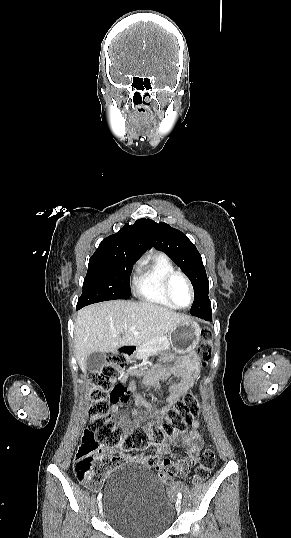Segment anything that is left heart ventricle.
<instances>
[{
	"label": "left heart ventricle",
	"mask_w": 291,
	"mask_h": 538,
	"mask_svg": "<svg viewBox=\"0 0 291 538\" xmlns=\"http://www.w3.org/2000/svg\"><path fill=\"white\" fill-rule=\"evenodd\" d=\"M171 292L175 303L179 306H186L190 301V292L185 281L177 277L174 279Z\"/></svg>",
	"instance_id": "obj_1"
}]
</instances>
